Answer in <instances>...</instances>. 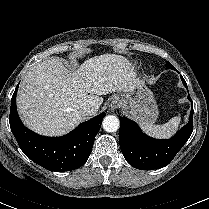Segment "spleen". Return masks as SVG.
I'll return each mask as SVG.
<instances>
[{
  "mask_svg": "<svg viewBox=\"0 0 209 209\" xmlns=\"http://www.w3.org/2000/svg\"><path fill=\"white\" fill-rule=\"evenodd\" d=\"M181 117L176 116L171 118L168 122L162 125H153L151 123H146L139 121L142 130L154 138L165 139L171 137L178 129Z\"/></svg>",
  "mask_w": 209,
  "mask_h": 209,
  "instance_id": "3e777b00",
  "label": "spleen"
}]
</instances>
